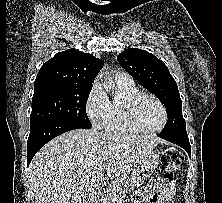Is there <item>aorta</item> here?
<instances>
[{
  "instance_id": "obj_1",
  "label": "aorta",
  "mask_w": 222,
  "mask_h": 203,
  "mask_svg": "<svg viewBox=\"0 0 222 203\" xmlns=\"http://www.w3.org/2000/svg\"><path fill=\"white\" fill-rule=\"evenodd\" d=\"M104 88L107 91L113 90L114 89V84L113 82H106L104 83Z\"/></svg>"
}]
</instances>
